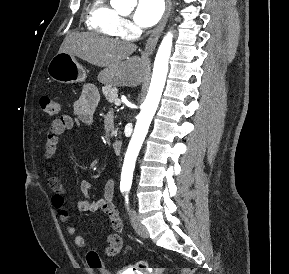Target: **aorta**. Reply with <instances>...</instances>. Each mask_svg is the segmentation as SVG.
Masks as SVG:
<instances>
[{
    "label": "aorta",
    "instance_id": "762f6f07",
    "mask_svg": "<svg viewBox=\"0 0 289 274\" xmlns=\"http://www.w3.org/2000/svg\"><path fill=\"white\" fill-rule=\"evenodd\" d=\"M129 1L130 0H111V4L114 7H123L127 5ZM172 38L173 35L170 32L167 33L157 51L149 91L142 105L134 133L125 155L121 174L122 185H130L132 182L136 158L146 137L152 118L157 110L168 72Z\"/></svg>",
    "mask_w": 289,
    "mask_h": 274
}]
</instances>
